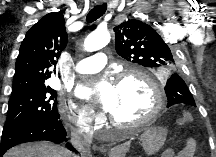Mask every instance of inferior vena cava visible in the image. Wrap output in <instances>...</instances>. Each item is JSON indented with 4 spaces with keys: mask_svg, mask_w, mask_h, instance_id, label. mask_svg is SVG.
<instances>
[{
    "mask_svg": "<svg viewBox=\"0 0 216 157\" xmlns=\"http://www.w3.org/2000/svg\"><path fill=\"white\" fill-rule=\"evenodd\" d=\"M72 145L80 152L82 157L89 154L90 145L92 143V135L89 133H82L80 131H73L71 133Z\"/></svg>",
    "mask_w": 216,
    "mask_h": 157,
    "instance_id": "obj_1",
    "label": "inferior vena cava"
}]
</instances>
